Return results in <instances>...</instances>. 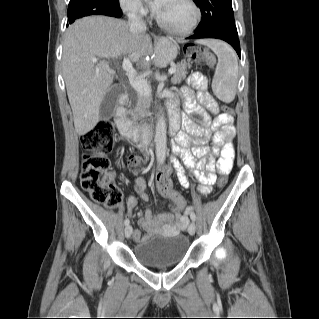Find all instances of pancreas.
Here are the masks:
<instances>
[{"instance_id":"obj_1","label":"pancreas","mask_w":319,"mask_h":319,"mask_svg":"<svg viewBox=\"0 0 319 319\" xmlns=\"http://www.w3.org/2000/svg\"><path fill=\"white\" fill-rule=\"evenodd\" d=\"M174 67L176 71L172 78V83L177 84L180 83L186 77V75L188 74V69H190L191 67V64L190 61H182L181 63H177ZM138 101L139 105H142V109L140 111L137 110L138 114L134 116L135 121L139 119V113H144V111L150 106L151 100L149 97H140Z\"/></svg>"}]
</instances>
